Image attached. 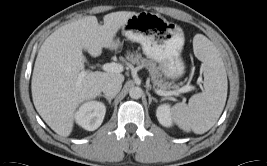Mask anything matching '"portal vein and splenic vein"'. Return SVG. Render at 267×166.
Returning a JSON list of instances; mask_svg holds the SVG:
<instances>
[{"mask_svg":"<svg viewBox=\"0 0 267 166\" xmlns=\"http://www.w3.org/2000/svg\"><path fill=\"white\" fill-rule=\"evenodd\" d=\"M102 69L106 72H111V73H121L124 69V67L119 64V63H105L102 65ZM85 76V72H81L79 74V80L81 81L82 78H84ZM195 87L192 86V85H186V86H183L182 88L176 90V91H161V90H156L157 94L159 95H163V96H167V95H178L179 93H185V92H188V91H191V90H194Z\"/></svg>","mask_w":267,"mask_h":166,"instance_id":"18ae733b","label":"portal vein and splenic vein"}]
</instances>
